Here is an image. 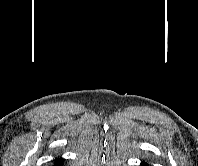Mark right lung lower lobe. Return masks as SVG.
Here are the masks:
<instances>
[{"label":"right lung lower lobe","mask_w":198,"mask_h":166,"mask_svg":"<svg viewBox=\"0 0 198 166\" xmlns=\"http://www.w3.org/2000/svg\"><path fill=\"white\" fill-rule=\"evenodd\" d=\"M62 161L63 159L62 158H57L54 160V166H63L62 165Z\"/></svg>","instance_id":"98d812e1"}]
</instances>
